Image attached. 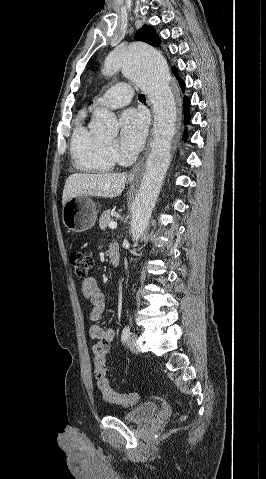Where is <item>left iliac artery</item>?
Segmentation results:
<instances>
[{"instance_id":"obj_1","label":"left iliac artery","mask_w":266,"mask_h":479,"mask_svg":"<svg viewBox=\"0 0 266 479\" xmlns=\"http://www.w3.org/2000/svg\"><path fill=\"white\" fill-rule=\"evenodd\" d=\"M129 335H130V327L126 326L123 329L122 334H121V340H122L123 343H125L128 340Z\"/></svg>"}]
</instances>
